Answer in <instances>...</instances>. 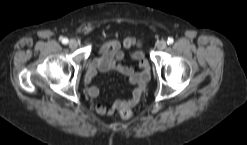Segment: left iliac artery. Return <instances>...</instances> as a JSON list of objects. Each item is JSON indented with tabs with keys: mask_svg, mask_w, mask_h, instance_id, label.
<instances>
[{
	"mask_svg": "<svg viewBox=\"0 0 247 145\" xmlns=\"http://www.w3.org/2000/svg\"><path fill=\"white\" fill-rule=\"evenodd\" d=\"M173 42H174V39H173L172 37H169V38L167 39V43H168L169 45L173 44Z\"/></svg>",
	"mask_w": 247,
	"mask_h": 145,
	"instance_id": "44dca946",
	"label": "left iliac artery"
}]
</instances>
